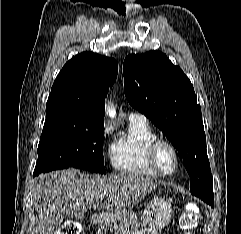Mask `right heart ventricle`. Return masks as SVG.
Returning <instances> with one entry per match:
<instances>
[{
  "label": "right heart ventricle",
  "mask_w": 241,
  "mask_h": 234,
  "mask_svg": "<svg viewBox=\"0 0 241 234\" xmlns=\"http://www.w3.org/2000/svg\"><path fill=\"white\" fill-rule=\"evenodd\" d=\"M158 136L147 121L129 120L125 132L111 146L110 161L115 171L132 175L157 177L147 158L149 145Z\"/></svg>",
  "instance_id": "obj_1"
}]
</instances>
